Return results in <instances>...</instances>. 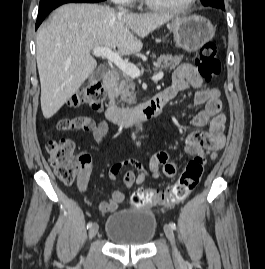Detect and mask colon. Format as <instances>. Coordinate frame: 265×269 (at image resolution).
<instances>
[{
  "label": "colon",
  "instance_id": "5ec220e1",
  "mask_svg": "<svg viewBox=\"0 0 265 269\" xmlns=\"http://www.w3.org/2000/svg\"><path fill=\"white\" fill-rule=\"evenodd\" d=\"M196 65L200 75L208 81L219 76L221 63L217 57V48L214 42H207L202 46L196 59ZM103 101L104 88L99 83H95L75 93L69 105L71 107L87 106L100 112ZM89 126L88 118L79 117L63 119L58 123L57 128L61 131H71L85 130ZM46 150L58 179L64 184H73L78 179L82 167V157L76 153L74 144L66 139L49 138ZM205 164L204 156H195L186 164L180 177L169 191L138 190L130 197V204L134 207H158L185 200L199 184Z\"/></svg>",
  "mask_w": 265,
  "mask_h": 269
}]
</instances>
